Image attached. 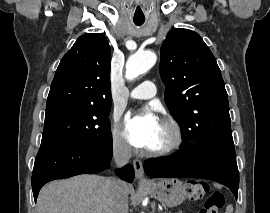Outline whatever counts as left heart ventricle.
<instances>
[{
	"instance_id": "b2bd125f",
	"label": "left heart ventricle",
	"mask_w": 270,
	"mask_h": 213,
	"mask_svg": "<svg viewBox=\"0 0 270 213\" xmlns=\"http://www.w3.org/2000/svg\"><path fill=\"white\" fill-rule=\"evenodd\" d=\"M170 134L168 128L159 122L157 132L154 139L151 142V145L148 149H155L163 146L169 140Z\"/></svg>"
}]
</instances>
